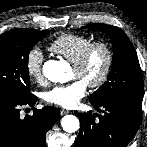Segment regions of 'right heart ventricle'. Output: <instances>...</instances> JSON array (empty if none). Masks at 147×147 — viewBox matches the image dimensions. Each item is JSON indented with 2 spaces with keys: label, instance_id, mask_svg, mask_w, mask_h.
<instances>
[{
  "label": "right heart ventricle",
  "instance_id": "obj_1",
  "mask_svg": "<svg viewBox=\"0 0 147 147\" xmlns=\"http://www.w3.org/2000/svg\"><path fill=\"white\" fill-rule=\"evenodd\" d=\"M92 42L93 39L85 35L63 34L49 45V50L73 64Z\"/></svg>",
  "mask_w": 147,
  "mask_h": 147
}]
</instances>
